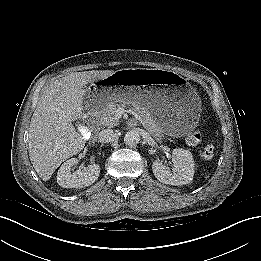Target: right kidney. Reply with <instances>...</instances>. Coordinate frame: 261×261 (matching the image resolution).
Returning <instances> with one entry per match:
<instances>
[{
    "label": "right kidney",
    "mask_w": 261,
    "mask_h": 261,
    "mask_svg": "<svg viewBox=\"0 0 261 261\" xmlns=\"http://www.w3.org/2000/svg\"><path fill=\"white\" fill-rule=\"evenodd\" d=\"M78 164L77 158L64 162L57 173V183L63 188H83L92 185L99 177L100 167L97 164L89 165L84 170H70Z\"/></svg>",
    "instance_id": "obj_1"
}]
</instances>
